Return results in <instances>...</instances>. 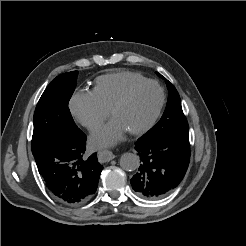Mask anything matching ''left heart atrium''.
Instances as JSON below:
<instances>
[{"label": "left heart atrium", "mask_w": 246, "mask_h": 246, "mask_svg": "<svg viewBox=\"0 0 246 246\" xmlns=\"http://www.w3.org/2000/svg\"><path fill=\"white\" fill-rule=\"evenodd\" d=\"M125 131V127L114 118L92 134L91 142L96 147L110 146L116 143Z\"/></svg>", "instance_id": "39dd6f15"}]
</instances>
